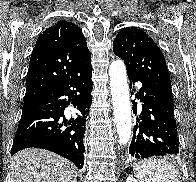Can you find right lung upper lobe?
Returning <instances> with one entry per match:
<instances>
[{
  "instance_id": "cb5924a9",
  "label": "right lung upper lobe",
  "mask_w": 196,
  "mask_h": 182,
  "mask_svg": "<svg viewBox=\"0 0 196 182\" xmlns=\"http://www.w3.org/2000/svg\"><path fill=\"white\" fill-rule=\"evenodd\" d=\"M90 61L86 39L77 25L59 21L47 28L31 54L23 108Z\"/></svg>"
}]
</instances>
